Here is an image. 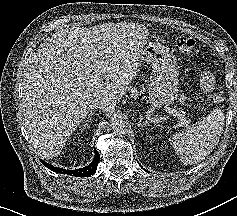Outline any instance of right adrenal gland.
<instances>
[{
  "mask_svg": "<svg viewBox=\"0 0 237 216\" xmlns=\"http://www.w3.org/2000/svg\"><path fill=\"white\" fill-rule=\"evenodd\" d=\"M94 114V112H91V113H89V115H88V118H87V120L85 121V123H84V128H86V127H89V122H92V115Z\"/></svg>",
  "mask_w": 237,
  "mask_h": 216,
  "instance_id": "obj_1",
  "label": "right adrenal gland"
}]
</instances>
